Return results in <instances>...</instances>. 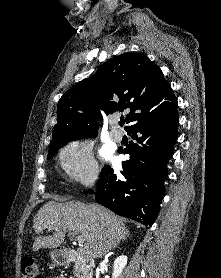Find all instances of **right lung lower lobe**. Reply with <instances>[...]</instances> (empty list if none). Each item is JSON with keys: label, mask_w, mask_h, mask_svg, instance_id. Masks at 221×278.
Listing matches in <instances>:
<instances>
[{"label": "right lung lower lobe", "mask_w": 221, "mask_h": 278, "mask_svg": "<svg viewBox=\"0 0 221 278\" xmlns=\"http://www.w3.org/2000/svg\"><path fill=\"white\" fill-rule=\"evenodd\" d=\"M178 122L175 108L128 129V135L136 140L123 150L124 154H130V159L123 161L120 173L109 166L102 169L96 201L120 216L151 226L165 195L167 161L178 137Z\"/></svg>", "instance_id": "1"}]
</instances>
